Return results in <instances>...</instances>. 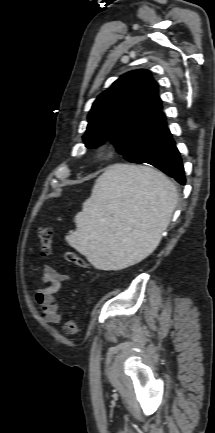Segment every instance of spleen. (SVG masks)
Here are the masks:
<instances>
[{
    "mask_svg": "<svg viewBox=\"0 0 215 433\" xmlns=\"http://www.w3.org/2000/svg\"><path fill=\"white\" fill-rule=\"evenodd\" d=\"M178 201L174 184L144 166L116 164L96 180L67 243L98 269L140 262L158 246Z\"/></svg>",
    "mask_w": 215,
    "mask_h": 433,
    "instance_id": "1",
    "label": "spleen"
}]
</instances>
